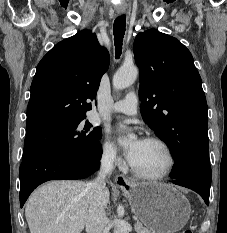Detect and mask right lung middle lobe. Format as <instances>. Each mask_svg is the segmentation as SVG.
I'll return each instance as SVG.
<instances>
[{
	"label": "right lung middle lobe",
	"mask_w": 227,
	"mask_h": 233,
	"mask_svg": "<svg viewBox=\"0 0 227 233\" xmlns=\"http://www.w3.org/2000/svg\"><path fill=\"white\" fill-rule=\"evenodd\" d=\"M92 124L84 118L56 125L26 135L23 160L35 154L52 150H71L86 153L99 144L100 128L91 129Z\"/></svg>",
	"instance_id": "dd1d6c3e"
}]
</instances>
